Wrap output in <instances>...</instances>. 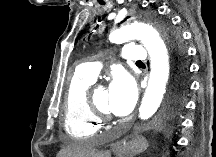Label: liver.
Here are the masks:
<instances>
[{
  "instance_id": "liver-1",
  "label": "liver",
  "mask_w": 216,
  "mask_h": 157,
  "mask_svg": "<svg viewBox=\"0 0 216 157\" xmlns=\"http://www.w3.org/2000/svg\"><path fill=\"white\" fill-rule=\"evenodd\" d=\"M110 152H99L90 144L75 142L62 149L57 157H109Z\"/></svg>"
}]
</instances>
